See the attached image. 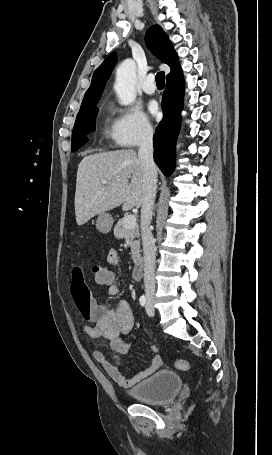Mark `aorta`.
Masks as SVG:
<instances>
[{
    "label": "aorta",
    "instance_id": "aorta-1",
    "mask_svg": "<svg viewBox=\"0 0 272 455\" xmlns=\"http://www.w3.org/2000/svg\"><path fill=\"white\" fill-rule=\"evenodd\" d=\"M136 64L132 59L124 60L116 70L114 90L122 105L131 104L135 98Z\"/></svg>",
    "mask_w": 272,
    "mask_h": 455
}]
</instances>
